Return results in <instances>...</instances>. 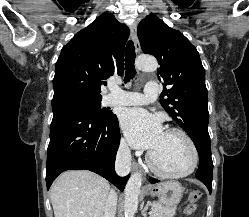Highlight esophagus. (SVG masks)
Listing matches in <instances>:
<instances>
[{"label":"esophagus","instance_id":"obj_1","mask_svg":"<svg viewBox=\"0 0 249 217\" xmlns=\"http://www.w3.org/2000/svg\"><path fill=\"white\" fill-rule=\"evenodd\" d=\"M130 31H131V36H132V39H133V42L135 45L136 52H139L140 51V44H139V41L137 39V25L135 23H132L130 25ZM138 168H139V166H138L137 162L133 161L132 162V169L138 170Z\"/></svg>","mask_w":249,"mask_h":217}]
</instances>
